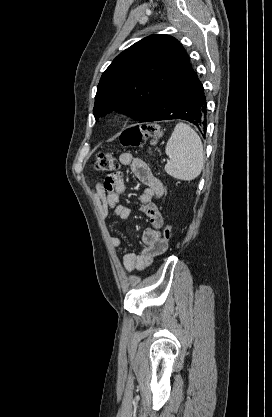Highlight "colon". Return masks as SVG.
Instances as JSON below:
<instances>
[{"label": "colon", "instance_id": "5ec220e1", "mask_svg": "<svg viewBox=\"0 0 272 417\" xmlns=\"http://www.w3.org/2000/svg\"><path fill=\"white\" fill-rule=\"evenodd\" d=\"M161 129L156 123H146L125 129L120 142L125 147H137L142 145L147 139H151L155 144L161 137ZM119 167L117 159L108 153L98 154L94 163V169L98 172H115ZM173 225L168 224L163 231L162 239L168 242L172 236Z\"/></svg>", "mask_w": 272, "mask_h": 417}]
</instances>
